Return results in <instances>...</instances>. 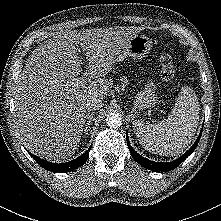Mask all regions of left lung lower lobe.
I'll return each instance as SVG.
<instances>
[{"mask_svg": "<svg viewBox=\"0 0 221 221\" xmlns=\"http://www.w3.org/2000/svg\"><path fill=\"white\" fill-rule=\"evenodd\" d=\"M202 133V131H201ZM201 133L198 137V139L196 140V142L193 144V146L188 150L186 151L181 157H179L178 159L172 161V162H166V163H163V162H154V161H151V160H148L144 157H142L141 155H139L130 145V142L128 140V135L126 133V140H127V144L129 146V151L133 157V159L138 163L140 164L141 166L149 169V170H152V171H156V172H168V171H171L173 169H175L180 163H182L194 150L195 148L197 147L198 145V142L200 140V137H201Z\"/></svg>", "mask_w": 221, "mask_h": 221, "instance_id": "left-lung-lower-lobe-1", "label": "left lung lower lobe"}]
</instances>
